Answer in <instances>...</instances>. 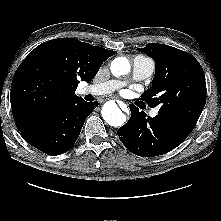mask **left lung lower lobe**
<instances>
[{
  "mask_svg": "<svg viewBox=\"0 0 221 221\" xmlns=\"http://www.w3.org/2000/svg\"><path fill=\"white\" fill-rule=\"evenodd\" d=\"M131 118L119 128L120 141L132 153L153 157L171 151L189 134L183 133L175 124L160 115L146 118V113L130 104Z\"/></svg>",
  "mask_w": 221,
  "mask_h": 221,
  "instance_id": "0a47b994",
  "label": "left lung lower lobe"
}]
</instances>
